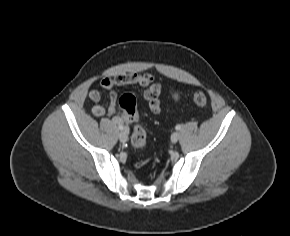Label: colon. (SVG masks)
Returning a JSON list of instances; mask_svg holds the SVG:
<instances>
[{
	"instance_id": "5ec220e1",
	"label": "colon",
	"mask_w": 290,
	"mask_h": 236,
	"mask_svg": "<svg viewBox=\"0 0 290 236\" xmlns=\"http://www.w3.org/2000/svg\"><path fill=\"white\" fill-rule=\"evenodd\" d=\"M173 98L178 99L179 94L173 93ZM192 101L196 106L203 107L207 104V96L202 91H196L192 96ZM120 109L127 116L131 123H134L131 135V145L137 150L144 149L147 145V132L143 126L138 124V115L136 110V99L132 93H124L118 100Z\"/></svg>"
}]
</instances>
